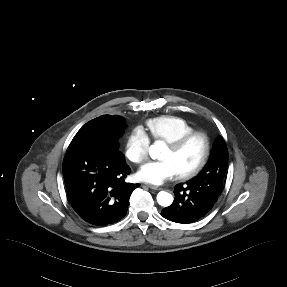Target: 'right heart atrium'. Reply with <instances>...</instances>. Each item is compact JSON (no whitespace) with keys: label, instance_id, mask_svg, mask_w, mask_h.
<instances>
[{"label":"right heart atrium","instance_id":"right-heart-atrium-1","mask_svg":"<svg viewBox=\"0 0 287 287\" xmlns=\"http://www.w3.org/2000/svg\"><path fill=\"white\" fill-rule=\"evenodd\" d=\"M150 140L146 133L136 127L128 134L125 142V156L126 158L135 163L140 164L148 157Z\"/></svg>","mask_w":287,"mask_h":287}]
</instances>
